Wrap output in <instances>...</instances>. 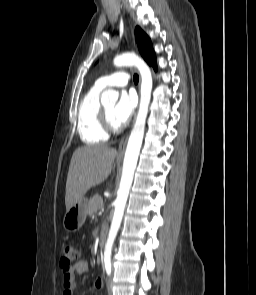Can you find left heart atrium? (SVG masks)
<instances>
[{
	"instance_id": "1",
	"label": "left heart atrium",
	"mask_w": 256,
	"mask_h": 295,
	"mask_svg": "<svg viewBox=\"0 0 256 295\" xmlns=\"http://www.w3.org/2000/svg\"><path fill=\"white\" fill-rule=\"evenodd\" d=\"M136 107V98L132 92H122L114 110V121L117 126L125 125L131 118Z\"/></svg>"
}]
</instances>
